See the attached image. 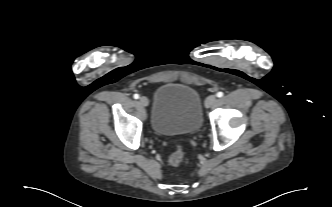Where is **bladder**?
<instances>
[{
    "mask_svg": "<svg viewBox=\"0 0 332 207\" xmlns=\"http://www.w3.org/2000/svg\"><path fill=\"white\" fill-rule=\"evenodd\" d=\"M199 92L185 84L169 82L154 93L151 113L153 130L163 136L194 134L202 125Z\"/></svg>",
    "mask_w": 332,
    "mask_h": 207,
    "instance_id": "1",
    "label": "bladder"
}]
</instances>
